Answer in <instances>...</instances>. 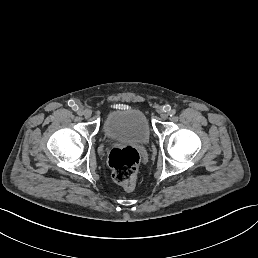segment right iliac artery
<instances>
[{"label":"right iliac artery","instance_id":"right-iliac-artery-1","mask_svg":"<svg viewBox=\"0 0 258 258\" xmlns=\"http://www.w3.org/2000/svg\"><path fill=\"white\" fill-rule=\"evenodd\" d=\"M77 114H78L79 116H82V115H83V112H82V111H78Z\"/></svg>","mask_w":258,"mask_h":258}]
</instances>
